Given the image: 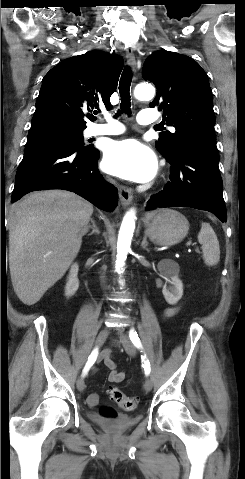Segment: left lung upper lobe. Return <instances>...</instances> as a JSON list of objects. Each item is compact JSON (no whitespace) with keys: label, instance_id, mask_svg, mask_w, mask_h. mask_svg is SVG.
I'll return each instance as SVG.
<instances>
[{"label":"left lung upper lobe","instance_id":"obj_1","mask_svg":"<svg viewBox=\"0 0 245 479\" xmlns=\"http://www.w3.org/2000/svg\"><path fill=\"white\" fill-rule=\"evenodd\" d=\"M143 78L157 88L150 107H158L175 133L161 132L157 149L168 160L196 145L216 146L213 98L206 73L192 58L159 50L143 66Z\"/></svg>","mask_w":245,"mask_h":479}]
</instances>
